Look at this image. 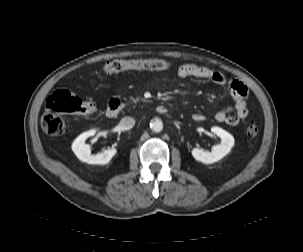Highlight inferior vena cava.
Returning a JSON list of instances; mask_svg holds the SVG:
<instances>
[{"instance_id":"602c4592","label":"inferior vena cava","mask_w":303,"mask_h":252,"mask_svg":"<svg viewBox=\"0 0 303 252\" xmlns=\"http://www.w3.org/2000/svg\"><path fill=\"white\" fill-rule=\"evenodd\" d=\"M120 124L125 129H131L135 125V119L130 117V116H126V117L121 119Z\"/></svg>"}]
</instances>
